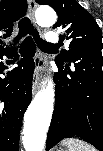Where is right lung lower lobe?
<instances>
[{
    "mask_svg": "<svg viewBox=\"0 0 103 151\" xmlns=\"http://www.w3.org/2000/svg\"><path fill=\"white\" fill-rule=\"evenodd\" d=\"M10 50L0 51V59L4 55L10 57ZM21 60L18 67L12 70L9 80L0 78V150L18 151L19 133L23 115L32 97V77L34 72L35 46L30 39L22 43ZM5 66L0 62V72Z\"/></svg>",
    "mask_w": 103,
    "mask_h": 151,
    "instance_id": "1",
    "label": "right lung lower lobe"
}]
</instances>
